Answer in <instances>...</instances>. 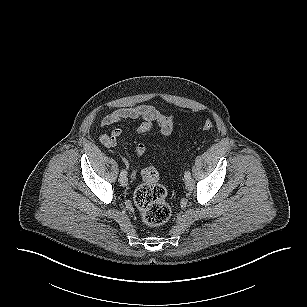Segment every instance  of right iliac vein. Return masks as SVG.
Listing matches in <instances>:
<instances>
[{
  "mask_svg": "<svg viewBox=\"0 0 307 307\" xmlns=\"http://www.w3.org/2000/svg\"><path fill=\"white\" fill-rule=\"evenodd\" d=\"M119 182L122 186H126L128 184V178L126 175L120 176Z\"/></svg>",
  "mask_w": 307,
  "mask_h": 307,
  "instance_id": "63e3f726",
  "label": "right iliac vein"
}]
</instances>
